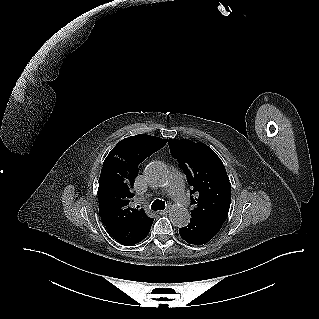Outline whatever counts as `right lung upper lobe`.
Masks as SVG:
<instances>
[{
	"label": "right lung upper lobe",
	"mask_w": 319,
	"mask_h": 319,
	"mask_svg": "<svg viewBox=\"0 0 319 319\" xmlns=\"http://www.w3.org/2000/svg\"><path fill=\"white\" fill-rule=\"evenodd\" d=\"M167 140L139 134L121 140L106 157L99 178V213L109 233L124 245L140 242L153 218L130 206L138 165L161 149Z\"/></svg>",
	"instance_id": "cb5924a9"
}]
</instances>
